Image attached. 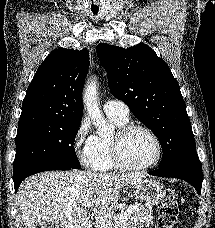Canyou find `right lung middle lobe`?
<instances>
[{
  "mask_svg": "<svg viewBox=\"0 0 215 228\" xmlns=\"http://www.w3.org/2000/svg\"><path fill=\"white\" fill-rule=\"evenodd\" d=\"M80 121H59L18 127L13 172L34 165L79 169L74 141Z\"/></svg>",
  "mask_w": 215,
  "mask_h": 228,
  "instance_id": "right-lung-middle-lobe-1",
  "label": "right lung middle lobe"
}]
</instances>
